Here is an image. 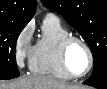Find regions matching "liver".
I'll return each instance as SVG.
<instances>
[{"mask_svg": "<svg viewBox=\"0 0 107 89\" xmlns=\"http://www.w3.org/2000/svg\"><path fill=\"white\" fill-rule=\"evenodd\" d=\"M0 89H78V87L50 76L32 75L12 82H1Z\"/></svg>", "mask_w": 107, "mask_h": 89, "instance_id": "6515ba94", "label": "liver"}]
</instances>
